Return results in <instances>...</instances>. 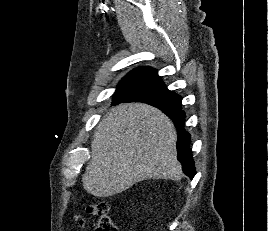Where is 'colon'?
<instances>
[{
  "instance_id": "colon-1",
  "label": "colon",
  "mask_w": 268,
  "mask_h": 231,
  "mask_svg": "<svg viewBox=\"0 0 268 231\" xmlns=\"http://www.w3.org/2000/svg\"><path fill=\"white\" fill-rule=\"evenodd\" d=\"M96 216L95 231H118L116 224L108 212V204L100 202L93 207Z\"/></svg>"
}]
</instances>
